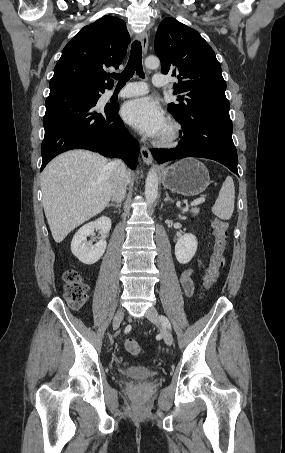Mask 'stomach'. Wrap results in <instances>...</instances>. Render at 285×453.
<instances>
[{
  "label": "stomach",
  "mask_w": 285,
  "mask_h": 453,
  "mask_svg": "<svg viewBox=\"0 0 285 453\" xmlns=\"http://www.w3.org/2000/svg\"><path fill=\"white\" fill-rule=\"evenodd\" d=\"M161 174L163 186L183 196L199 195L210 184L206 166L193 158L180 160L164 168Z\"/></svg>",
  "instance_id": "1"
}]
</instances>
